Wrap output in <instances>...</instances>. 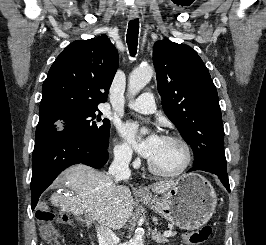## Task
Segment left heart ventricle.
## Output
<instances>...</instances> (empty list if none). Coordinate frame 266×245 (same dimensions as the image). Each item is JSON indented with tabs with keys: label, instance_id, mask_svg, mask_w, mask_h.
<instances>
[{
	"label": "left heart ventricle",
	"instance_id": "left-heart-ventricle-1",
	"mask_svg": "<svg viewBox=\"0 0 266 245\" xmlns=\"http://www.w3.org/2000/svg\"><path fill=\"white\" fill-rule=\"evenodd\" d=\"M184 158V150L178 142L162 138L150 162L155 169L165 173H172L182 167Z\"/></svg>",
	"mask_w": 266,
	"mask_h": 245
}]
</instances>
